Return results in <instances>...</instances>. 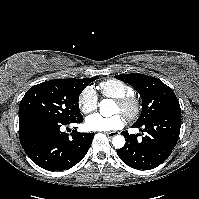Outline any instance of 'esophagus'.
I'll use <instances>...</instances> for the list:
<instances>
[{"mask_svg":"<svg viewBox=\"0 0 199 199\" xmlns=\"http://www.w3.org/2000/svg\"><path fill=\"white\" fill-rule=\"evenodd\" d=\"M108 137L112 138L114 137L115 135H117V132H106L105 133Z\"/></svg>","mask_w":199,"mask_h":199,"instance_id":"obj_1","label":"esophagus"}]
</instances>
